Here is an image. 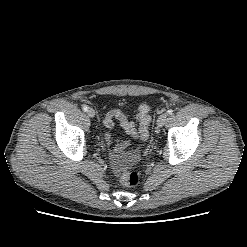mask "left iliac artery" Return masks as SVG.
<instances>
[{
	"label": "left iliac artery",
	"mask_w": 247,
	"mask_h": 247,
	"mask_svg": "<svg viewBox=\"0 0 247 247\" xmlns=\"http://www.w3.org/2000/svg\"><path fill=\"white\" fill-rule=\"evenodd\" d=\"M167 113L170 115V114L173 113V110H172V109H169V110L167 111Z\"/></svg>",
	"instance_id": "left-iliac-artery-1"
}]
</instances>
